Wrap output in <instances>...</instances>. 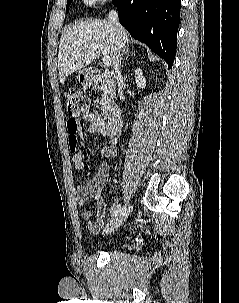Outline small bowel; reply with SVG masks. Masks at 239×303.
I'll return each instance as SVG.
<instances>
[{"mask_svg":"<svg viewBox=\"0 0 239 303\" xmlns=\"http://www.w3.org/2000/svg\"><path fill=\"white\" fill-rule=\"evenodd\" d=\"M74 121L76 124V129L72 133L69 128V122ZM88 122L89 125L87 127V133L90 135L100 134L103 136L109 137V143L102 148V154L108 158L115 156L116 154V142L117 139L109 135L106 124L102 117L92 111L87 113L86 115L69 119L67 122V129L69 132V148L72 151L71 161L73 167L77 171H81L85 168V156L83 151L77 150L76 146L82 139V123ZM110 168L108 163H103L95 177L88 182H81L78 184L76 192L81 204L85 203L90 199H94L96 201V213L98 221H92L93 212L90 209H85L81 213L82 220L87 222V229L90 233L96 234L100 231L101 227L105 225V215L107 213V208L105 202L102 200L100 191L104 187L108 176H109Z\"/></svg>","mask_w":239,"mask_h":303,"instance_id":"small-bowel-1","label":"small bowel"}]
</instances>
